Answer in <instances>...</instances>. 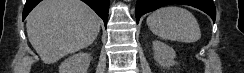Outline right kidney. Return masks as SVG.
Returning a JSON list of instances; mask_svg holds the SVG:
<instances>
[{
	"mask_svg": "<svg viewBox=\"0 0 244 73\" xmlns=\"http://www.w3.org/2000/svg\"><path fill=\"white\" fill-rule=\"evenodd\" d=\"M91 61L88 53L80 52L67 58L59 66V73H87Z\"/></svg>",
	"mask_w": 244,
	"mask_h": 73,
	"instance_id": "right-kidney-1",
	"label": "right kidney"
}]
</instances>
